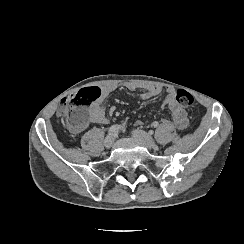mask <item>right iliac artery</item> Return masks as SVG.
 I'll use <instances>...</instances> for the list:
<instances>
[{"label": "right iliac artery", "mask_w": 244, "mask_h": 244, "mask_svg": "<svg viewBox=\"0 0 244 244\" xmlns=\"http://www.w3.org/2000/svg\"><path fill=\"white\" fill-rule=\"evenodd\" d=\"M119 129H120V125H118V124L111 126V127L109 128L108 132H107L108 136L113 135V134L116 133Z\"/></svg>", "instance_id": "right-iliac-artery-1"}]
</instances>
